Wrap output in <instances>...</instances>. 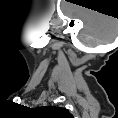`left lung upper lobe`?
Returning a JSON list of instances; mask_svg holds the SVG:
<instances>
[{
    "label": "left lung upper lobe",
    "instance_id": "obj_1",
    "mask_svg": "<svg viewBox=\"0 0 118 118\" xmlns=\"http://www.w3.org/2000/svg\"><path fill=\"white\" fill-rule=\"evenodd\" d=\"M45 109L48 110L50 113H52L55 116H57V115H70L68 110L65 108L48 106Z\"/></svg>",
    "mask_w": 118,
    "mask_h": 118
}]
</instances>
